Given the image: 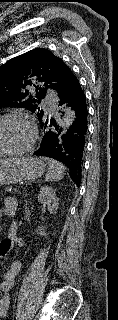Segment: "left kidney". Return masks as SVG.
<instances>
[{
	"label": "left kidney",
	"mask_w": 118,
	"mask_h": 320,
	"mask_svg": "<svg viewBox=\"0 0 118 320\" xmlns=\"http://www.w3.org/2000/svg\"><path fill=\"white\" fill-rule=\"evenodd\" d=\"M38 200L41 204H45L48 207V210L51 214H56L59 206L58 198L56 197L55 190L52 187L44 186L41 187ZM40 235L44 234V228L39 227L38 229ZM38 233V231H37Z\"/></svg>",
	"instance_id": "obj_1"
}]
</instances>
